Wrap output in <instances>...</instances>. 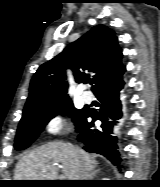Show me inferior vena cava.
I'll use <instances>...</instances> for the list:
<instances>
[{"label":"inferior vena cava","mask_w":160,"mask_h":187,"mask_svg":"<svg viewBox=\"0 0 160 187\" xmlns=\"http://www.w3.org/2000/svg\"><path fill=\"white\" fill-rule=\"evenodd\" d=\"M88 178H89V174H88V172H86V171H83L82 172V176H81V180H88Z\"/></svg>","instance_id":"obj_1"}]
</instances>
